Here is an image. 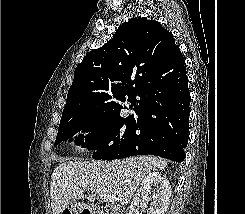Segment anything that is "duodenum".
Wrapping results in <instances>:
<instances>
[{
  "label": "duodenum",
  "mask_w": 245,
  "mask_h": 214,
  "mask_svg": "<svg viewBox=\"0 0 245 214\" xmlns=\"http://www.w3.org/2000/svg\"><path fill=\"white\" fill-rule=\"evenodd\" d=\"M90 211L91 214H126V212L123 209L110 208L99 205L92 206Z\"/></svg>",
  "instance_id": "1"
}]
</instances>
